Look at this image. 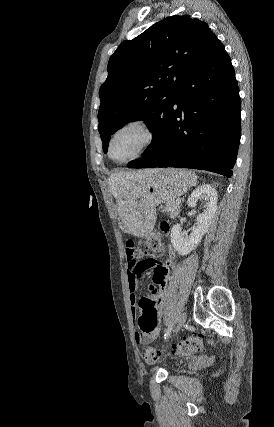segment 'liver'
Returning a JSON list of instances; mask_svg holds the SVG:
<instances>
[{
    "label": "liver",
    "instance_id": "obj_1",
    "mask_svg": "<svg viewBox=\"0 0 274 427\" xmlns=\"http://www.w3.org/2000/svg\"><path fill=\"white\" fill-rule=\"evenodd\" d=\"M156 170H138V172H118V174H111L109 178V188L120 206V202H123L126 198L127 190H131L134 176L144 180L145 176L149 174H155Z\"/></svg>",
    "mask_w": 274,
    "mask_h": 427
}]
</instances>
